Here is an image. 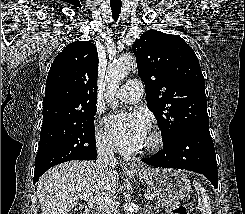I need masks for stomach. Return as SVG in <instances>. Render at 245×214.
<instances>
[{
	"instance_id": "stomach-1",
	"label": "stomach",
	"mask_w": 245,
	"mask_h": 214,
	"mask_svg": "<svg viewBox=\"0 0 245 214\" xmlns=\"http://www.w3.org/2000/svg\"><path fill=\"white\" fill-rule=\"evenodd\" d=\"M134 172L156 195L171 203L186 197L191 189L187 176L177 169L145 168Z\"/></svg>"
}]
</instances>
